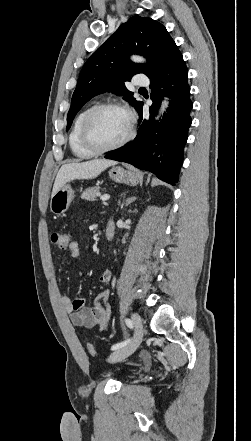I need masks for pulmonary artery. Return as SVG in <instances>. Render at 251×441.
Returning <instances> with one entry per match:
<instances>
[{
  "mask_svg": "<svg viewBox=\"0 0 251 441\" xmlns=\"http://www.w3.org/2000/svg\"><path fill=\"white\" fill-rule=\"evenodd\" d=\"M134 84L137 86H147L149 84V80L142 75H137L134 78Z\"/></svg>",
  "mask_w": 251,
  "mask_h": 441,
  "instance_id": "1",
  "label": "pulmonary artery"
}]
</instances>
